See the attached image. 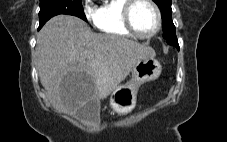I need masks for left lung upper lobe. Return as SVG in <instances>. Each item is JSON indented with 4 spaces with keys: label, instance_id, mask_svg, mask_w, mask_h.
Segmentation results:
<instances>
[{
    "label": "left lung upper lobe",
    "instance_id": "left-lung-upper-lobe-1",
    "mask_svg": "<svg viewBox=\"0 0 227 142\" xmlns=\"http://www.w3.org/2000/svg\"><path fill=\"white\" fill-rule=\"evenodd\" d=\"M161 10L163 21V37L169 45L179 49L178 40L175 33V26L172 21L171 0H154Z\"/></svg>",
    "mask_w": 227,
    "mask_h": 142
}]
</instances>
